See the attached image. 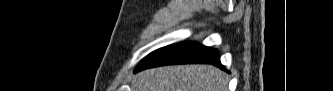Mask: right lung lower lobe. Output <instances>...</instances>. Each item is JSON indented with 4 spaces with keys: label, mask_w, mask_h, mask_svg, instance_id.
<instances>
[{
    "label": "right lung lower lobe",
    "mask_w": 333,
    "mask_h": 91,
    "mask_svg": "<svg viewBox=\"0 0 333 91\" xmlns=\"http://www.w3.org/2000/svg\"><path fill=\"white\" fill-rule=\"evenodd\" d=\"M196 63L213 64L224 69L216 49L194 42H182L150 53L139 63L134 72L162 65Z\"/></svg>",
    "instance_id": "98d812e1"
}]
</instances>
